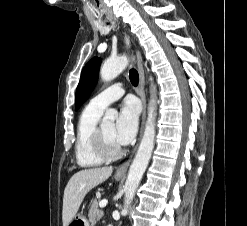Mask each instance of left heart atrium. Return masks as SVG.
Segmentation results:
<instances>
[{"instance_id": "left-heart-atrium-1", "label": "left heart atrium", "mask_w": 247, "mask_h": 226, "mask_svg": "<svg viewBox=\"0 0 247 226\" xmlns=\"http://www.w3.org/2000/svg\"><path fill=\"white\" fill-rule=\"evenodd\" d=\"M139 112V104L135 99L129 98L122 103L114 126V138L120 146L127 145L135 137Z\"/></svg>"}]
</instances>
